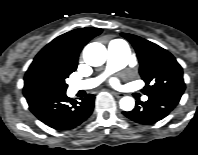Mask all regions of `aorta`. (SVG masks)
<instances>
[{
	"label": "aorta",
	"mask_w": 198,
	"mask_h": 155,
	"mask_svg": "<svg viewBox=\"0 0 198 155\" xmlns=\"http://www.w3.org/2000/svg\"><path fill=\"white\" fill-rule=\"evenodd\" d=\"M83 58L90 66H101L107 59V50L101 43H89L83 50ZM119 105L122 110L131 111L135 106V101L132 97L125 96L121 98Z\"/></svg>",
	"instance_id": "1"
}]
</instances>
